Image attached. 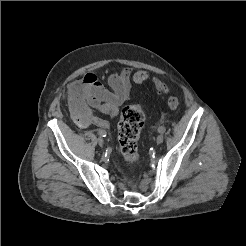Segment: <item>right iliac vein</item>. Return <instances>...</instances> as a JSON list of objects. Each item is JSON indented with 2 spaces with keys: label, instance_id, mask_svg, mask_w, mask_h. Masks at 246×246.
I'll use <instances>...</instances> for the list:
<instances>
[{
  "label": "right iliac vein",
  "instance_id": "1",
  "mask_svg": "<svg viewBox=\"0 0 246 246\" xmlns=\"http://www.w3.org/2000/svg\"><path fill=\"white\" fill-rule=\"evenodd\" d=\"M97 142H98V144H99L100 146H103V145H104V140H103V138H101V137H99V138L97 139Z\"/></svg>",
  "mask_w": 246,
  "mask_h": 246
}]
</instances>
